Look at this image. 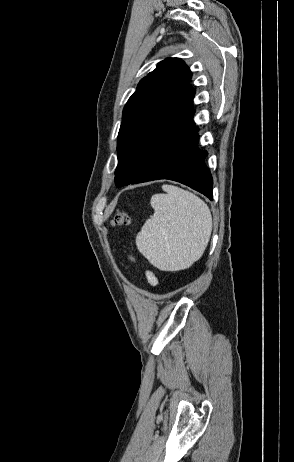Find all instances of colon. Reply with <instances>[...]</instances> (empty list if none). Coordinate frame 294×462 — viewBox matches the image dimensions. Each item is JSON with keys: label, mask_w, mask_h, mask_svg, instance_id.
Masks as SVG:
<instances>
[{"label": "colon", "mask_w": 294, "mask_h": 462, "mask_svg": "<svg viewBox=\"0 0 294 462\" xmlns=\"http://www.w3.org/2000/svg\"><path fill=\"white\" fill-rule=\"evenodd\" d=\"M129 222V216L124 212L117 213L112 221L115 225H127Z\"/></svg>", "instance_id": "obj_1"}]
</instances>
